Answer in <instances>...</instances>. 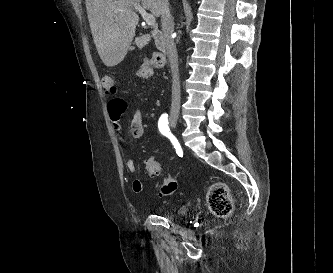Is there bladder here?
Instances as JSON below:
<instances>
[{
  "mask_svg": "<svg viewBox=\"0 0 333 273\" xmlns=\"http://www.w3.org/2000/svg\"><path fill=\"white\" fill-rule=\"evenodd\" d=\"M188 211V207L186 204H181L179 205L178 209H177V212L179 215H183V214H186ZM169 218L171 219H174L175 218V215H169L168 216Z\"/></svg>",
  "mask_w": 333,
  "mask_h": 273,
  "instance_id": "31cf9c89",
  "label": "bladder"
}]
</instances>
